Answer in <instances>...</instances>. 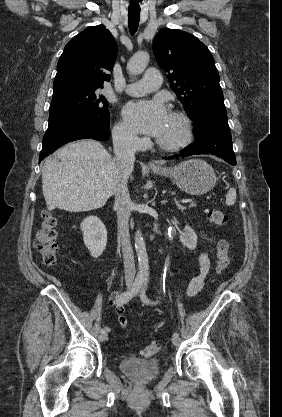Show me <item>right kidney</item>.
I'll return each mask as SVG.
<instances>
[{"mask_svg":"<svg viewBox=\"0 0 282 417\" xmlns=\"http://www.w3.org/2000/svg\"><path fill=\"white\" fill-rule=\"evenodd\" d=\"M81 231H83V241L85 247L89 249L91 257L97 259L105 251L107 245V229L98 219V217H86L81 223Z\"/></svg>","mask_w":282,"mask_h":417,"instance_id":"right-kidney-1","label":"right kidney"}]
</instances>
